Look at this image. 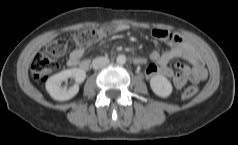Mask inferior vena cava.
Returning a JSON list of instances; mask_svg holds the SVG:
<instances>
[{
    "label": "inferior vena cava",
    "instance_id": "inferior-vena-cava-1",
    "mask_svg": "<svg viewBox=\"0 0 238 145\" xmlns=\"http://www.w3.org/2000/svg\"><path fill=\"white\" fill-rule=\"evenodd\" d=\"M109 63V59L107 57H96L92 61V67L95 70H98L104 66H106Z\"/></svg>",
    "mask_w": 238,
    "mask_h": 145
}]
</instances>
